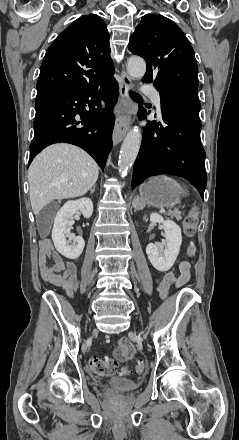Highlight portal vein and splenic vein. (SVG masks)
Listing matches in <instances>:
<instances>
[{
    "instance_id": "portal-vein-and-splenic-vein-1",
    "label": "portal vein and splenic vein",
    "mask_w": 239,
    "mask_h": 440,
    "mask_svg": "<svg viewBox=\"0 0 239 440\" xmlns=\"http://www.w3.org/2000/svg\"><path fill=\"white\" fill-rule=\"evenodd\" d=\"M159 211H160L162 214L165 213V212H164V208H161Z\"/></svg>"
}]
</instances>
